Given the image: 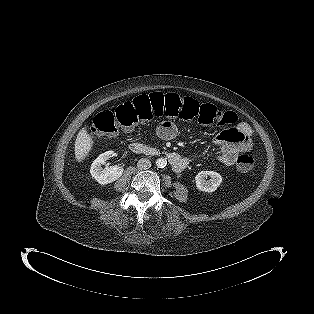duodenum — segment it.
<instances>
[{
	"label": "duodenum",
	"instance_id": "1",
	"mask_svg": "<svg viewBox=\"0 0 314 314\" xmlns=\"http://www.w3.org/2000/svg\"><path fill=\"white\" fill-rule=\"evenodd\" d=\"M130 151L135 154L145 155H151L156 153L154 149L142 142H133L130 145ZM166 158L168 159L171 168L176 172L183 171L189 163L186 158L175 152H167Z\"/></svg>",
	"mask_w": 314,
	"mask_h": 314
}]
</instances>
